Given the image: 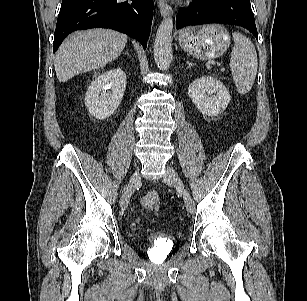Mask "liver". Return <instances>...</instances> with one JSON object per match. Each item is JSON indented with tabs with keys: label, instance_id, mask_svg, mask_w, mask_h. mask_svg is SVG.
<instances>
[{
	"label": "liver",
	"instance_id": "1",
	"mask_svg": "<svg viewBox=\"0 0 307 301\" xmlns=\"http://www.w3.org/2000/svg\"><path fill=\"white\" fill-rule=\"evenodd\" d=\"M126 43V35L109 29L71 34L56 52L54 65L58 80L66 82L77 74L105 66L118 57Z\"/></svg>",
	"mask_w": 307,
	"mask_h": 301
}]
</instances>
